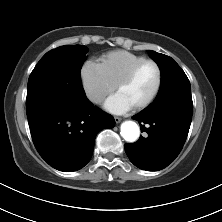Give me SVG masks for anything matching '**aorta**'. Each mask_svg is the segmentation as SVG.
<instances>
[{"mask_svg": "<svg viewBox=\"0 0 222 222\" xmlns=\"http://www.w3.org/2000/svg\"><path fill=\"white\" fill-rule=\"evenodd\" d=\"M121 136L129 143H133L138 140L140 136V128L133 121H125L121 124Z\"/></svg>", "mask_w": 222, "mask_h": 222, "instance_id": "obj_1", "label": "aorta"}]
</instances>
